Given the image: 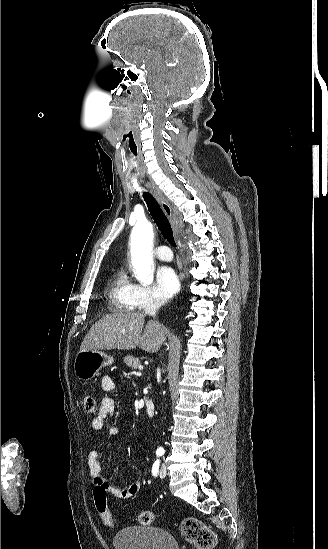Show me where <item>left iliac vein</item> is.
Returning <instances> with one entry per match:
<instances>
[{
    "mask_svg": "<svg viewBox=\"0 0 328 549\" xmlns=\"http://www.w3.org/2000/svg\"><path fill=\"white\" fill-rule=\"evenodd\" d=\"M159 475L161 478H164L166 476V466L163 464L160 468Z\"/></svg>",
    "mask_w": 328,
    "mask_h": 549,
    "instance_id": "1",
    "label": "left iliac vein"
}]
</instances>
